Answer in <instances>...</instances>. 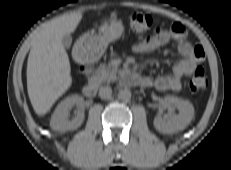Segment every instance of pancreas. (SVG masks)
<instances>
[{
	"label": "pancreas",
	"instance_id": "pancreas-1",
	"mask_svg": "<svg viewBox=\"0 0 231 170\" xmlns=\"http://www.w3.org/2000/svg\"><path fill=\"white\" fill-rule=\"evenodd\" d=\"M94 78L99 82H111L117 78V68L111 64H102L95 72Z\"/></svg>",
	"mask_w": 231,
	"mask_h": 170
}]
</instances>
